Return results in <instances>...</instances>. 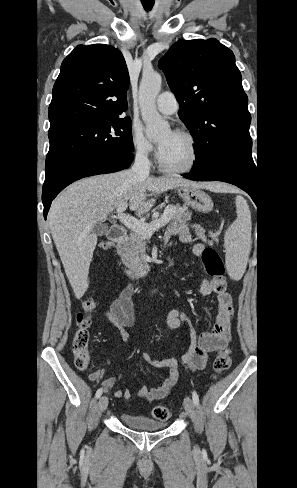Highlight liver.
<instances>
[{
    "mask_svg": "<svg viewBox=\"0 0 297 488\" xmlns=\"http://www.w3.org/2000/svg\"><path fill=\"white\" fill-rule=\"evenodd\" d=\"M177 187L217 189L216 184H197L180 177H141L132 170L97 175L70 185L52 203L48 213L51 234L77 299L88 289V274L97 245L94 224L103 222L120 204L147 213L160 194Z\"/></svg>",
    "mask_w": 297,
    "mask_h": 488,
    "instance_id": "6515ba94",
    "label": "liver"
}]
</instances>
